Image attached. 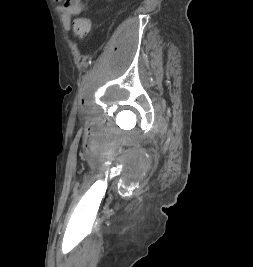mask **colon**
Returning a JSON list of instances; mask_svg holds the SVG:
<instances>
[{
  "instance_id": "colon-1",
  "label": "colon",
  "mask_w": 253,
  "mask_h": 267,
  "mask_svg": "<svg viewBox=\"0 0 253 267\" xmlns=\"http://www.w3.org/2000/svg\"><path fill=\"white\" fill-rule=\"evenodd\" d=\"M92 28V22L89 18L86 17H80L73 21L72 29L75 34V36L78 39H85Z\"/></svg>"
}]
</instances>
